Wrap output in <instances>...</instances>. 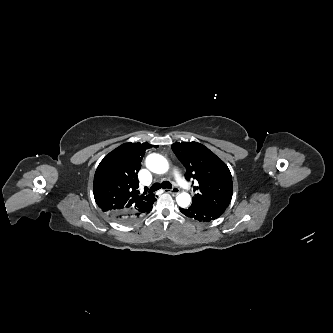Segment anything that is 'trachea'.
<instances>
[{"label":"trachea","instance_id":"1","mask_svg":"<svg viewBox=\"0 0 333 333\" xmlns=\"http://www.w3.org/2000/svg\"><path fill=\"white\" fill-rule=\"evenodd\" d=\"M161 188H167V189H171L172 185L169 181H164L162 183H154L151 188L149 189V193L155 192Z\"/></svg>","mask_w":333,"mask_h":333}]
</instances>
